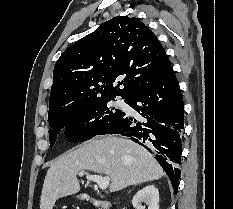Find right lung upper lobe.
<instances>
[{
    "label": "right lung upper lobe",
    "instance_id": "obj_1",
    "mask_svg": "<svg viewBox=\"0 0 233 209\" xmlns=\"http://www.w3.org/2000/svg\"><path fill=\"white\" fill-rule=\"evenodd\" d=\"M171 67L164 48L144 23L114 17L69 46L57 60L49 113L104 98L126 99L154 85ZM116 79L120 81L113 87Z\"/></svg>",
    "mask_w": 233,
    "mask_h": 209
}]
</instances>
